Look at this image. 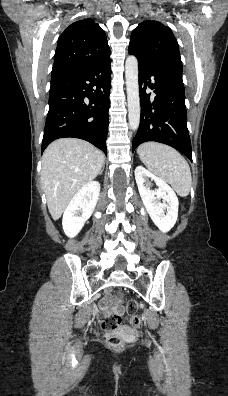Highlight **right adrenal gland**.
I'll return each mask as SVG.
<instances>
[{
	"instance_id": "1",
	"label": "right adrenal gland",
	"mask_w": 228,
	"mask_h": 396,
	"mask_svg": "<svg viewBox=\"0 0 228 396\" xmlns=\"http://www.w3.org/2000/svg\"><path fill=\"white\" fill-rule=\"evenodd\" d=\"M103 170H104V166H103V168H102V170L100 171V173H99V174H102Z\"/></svg>"
}]
</instances>
